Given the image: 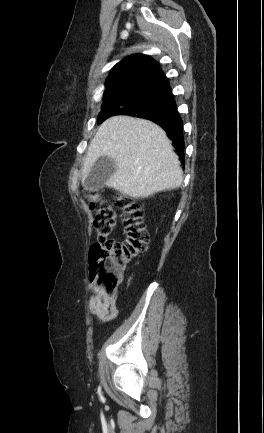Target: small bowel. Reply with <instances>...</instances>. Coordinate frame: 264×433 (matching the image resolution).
Returning a JSON list of instances; mask_svg holds the SVG:
<instances>
[{"mask_svg":"<svg viewBox=\"0 0 264 433\" xmlns=\"http://www.w3.org/2000/svg\"><path fill=\"white\" fill-rule=\"evenodd\" d=\"M89 287L92 291L89 300L90 313L102 322L114 320L119 314L116 306V296H106L94 281L90 282Z\"/></svg>","mask_w":264,"mask_h":433,"instance_id":"small-bowel-1","label":"small bowel"}]
</instances>
